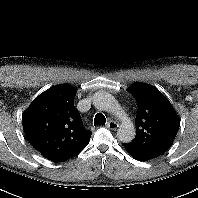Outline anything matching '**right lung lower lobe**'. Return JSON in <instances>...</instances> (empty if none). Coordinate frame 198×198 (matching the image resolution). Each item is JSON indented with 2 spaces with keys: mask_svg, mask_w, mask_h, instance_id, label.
I'll return each instance as SVG.
<instances>
[{
  "mask_svg": "<svg viewBox=\"0 0 198 198\" xmlns=\"http://www.w3.org/2000/svg\"><path fill=\"white\" fill-rule=\"evenodd\" d=\"M87 146L84 145L82 147L79 148H75L73 150H69L66 152H61V153H48V154H42L45 158L54 161V162H63L66 161L70 158H72L73 156H75L76 154H78L82 149H84Z\"/></svg>",
  "mask_w": 198,
  "mask_h": 198,
  "instance_id": "obj_1",
  "label": "right lung lower lobe"
}]
</instances>
